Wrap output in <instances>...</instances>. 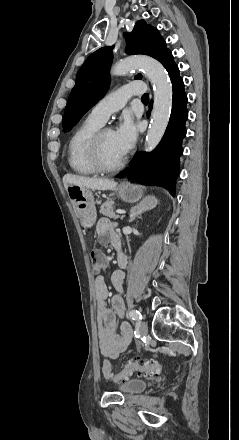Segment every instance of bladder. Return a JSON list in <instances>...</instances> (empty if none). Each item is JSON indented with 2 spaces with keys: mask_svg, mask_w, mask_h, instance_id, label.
Returning <instances> with one entry per match:
<instances>
[{
  "mask_svg": "<svg viewBox=\"0 0 239 440\" xmlns=\"http://www.w3.org/2000/svg\"><path fill=\"white\" fill-rule=\"evenodd\" d=\"M147 381L143 379H128L118 384L117 390L124 394H138L146 390Z\"/></svg>",
  "mask_w": 239,
  "mask_h": 440,
  "instance_id": "31cf9c89",
  "label": "bladder"
}]
</instances>
